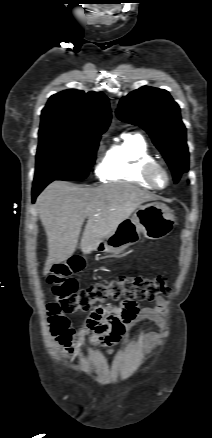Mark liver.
I'll return each instance as SVG.
<instances>
[{"instance_id":"1","label":"liver","mask_w":212,"mask_h":438,"mask_svg":"<svg viewBox=\"0 0 212 438\" xmlns=\"http://www.w3.org/2000/svg\"><path fill=\"white\" fill-rule=\"evenodd\" d=\"M158 198L127 183L96 188L62 181L48 185L36 202L47 235L48 256L44 275L49 273L53 264L66 261L73 255L86 218L80 248L83 253L90 254L141 204Z\"/></svg>"}]
</instances>
